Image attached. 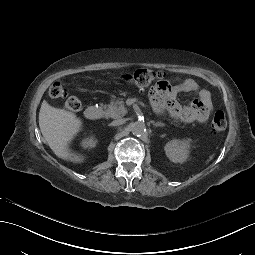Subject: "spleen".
<instances>
[{
  "label": "spleen",
  "instance_id": "3e777b00",
  "mask_svg": "<svg viewBox=\"0 0 255 255\" xmlns=\"http://www.w3.org/2000/svg\"><path fill=\"white\" fill-rule=\"evenodd\" d=\"M212 158H213V156H210L209 160H211ZM209 160H208V161H209Z\"/></svg>",
  "mask_w": 255,
  "mask_h": 255
}]
</instances>
